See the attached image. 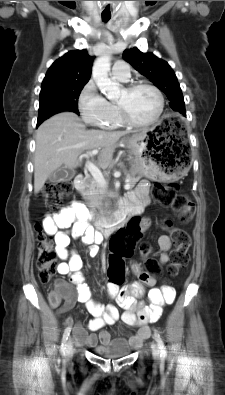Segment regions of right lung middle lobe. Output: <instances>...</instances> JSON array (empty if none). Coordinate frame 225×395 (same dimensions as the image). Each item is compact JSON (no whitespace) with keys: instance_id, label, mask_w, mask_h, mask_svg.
Returning a JSON list of instances; mask_svg holds the SVG:
<instances>
[{"instance_id":"obj_1","label":"right lung middle lobe","mask_w":225,"mask_h":395,"mask_svg":"<svg viewBox=\"0 0 225 395\" xmlns=\"http://www.w3.org/2000/svg\"><path fill=\"white\" fill-rule=\"evenodd\" d=\"M86 83L51 84L41 87L38 123L61 111L79 115L78 98Z\"/></svg>"}]
</instances>
